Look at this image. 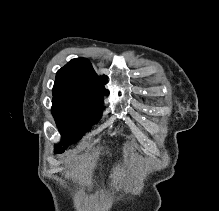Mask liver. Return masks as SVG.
I'll use <instances>...</instances> for the list:
<instances>
[{"mask_svg": "<svg viewBox=\"0 0 219 211\" xmlns=\"http://www.w3.org/2000/svg\"><path fill=\"white\" fill-rule=\"evenodd\" d=\"M80 167H81V165H78V167H75L77 173H78V169H80ZM111 177H112V175H111ZM114 177H115V175H114Z\"/></svg>", "mask_w": 219, "mask_h": 211, "instance_id": "obj_1", "label": "liver"}]
</instances>
